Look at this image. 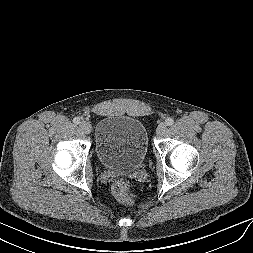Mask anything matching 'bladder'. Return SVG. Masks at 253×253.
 <instances>
[{
  "instance_id": "obj_1",
  "label": "bladder",
  "mask_w": 253,
  "mask_h": 253,
  "mask_svg": "<svg viewBox=\"0 0 253 253\" xmlns=\"http://www.w3.org/2000/svg\"><path fill=\"white\" fill-rule=\"evenodd\" d=\"M149 149L144 124L128 116L102 117L95 127V153L109 170H134L144 162Z\"/></svg>"
}]
</instances>
